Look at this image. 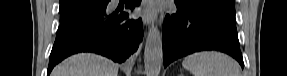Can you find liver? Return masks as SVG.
Segmentation results:
<instances>
[{"label":"liver","instance_id":"1","mask_svg":"<svg viewBox=\"0 0 287 76\" xmlns=\"http://www.w3.org/2000/svg\"><path fill=\"white\" fill-rule=\"evenodd\" d=\"M118 64L91 53L73 55L57 65L51 76H117Z\"/></svg>","mask_w":287,"mask_h":76}]
</instances>
